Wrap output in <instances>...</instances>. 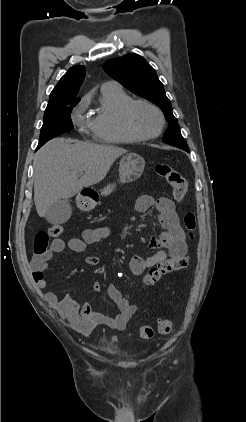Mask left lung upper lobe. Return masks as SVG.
<instances>
[{"mask_svg": "<svg viewBox=\"0 0 246 422\" xmlns=\"http://www.w3.org/2000/svg\"><path fill=\"white\" fill-rule=\"evenodd\" d=\"M103 68L125 88L160 107L169 123L163 136L164 143L189 151L181 135L177 119L172 113V106L165 94L163 84L153 67L143 57L135 53L127 54L107 60Z\"/></svg>", "mask_w": 246, "mask_h": 422, "instance_id": "obj_1", "label": "left lung upper lobe"}]
</instances>
